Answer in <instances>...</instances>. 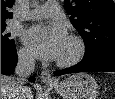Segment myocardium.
Returning <instances> with one entry per match:
<instances>
[{
  "mask_svg": "<svg viewBox=\"0 0 115 99\" xmlns=\"http://www.w3.org/2000/svg\"><path fill=\"white\" fill-rule=\"evenodd\" d=\"M68 41L74 46V51L70 56L58 59L57 64L61 67H70L79 63L87 51L85 41L80 36L70 35Z\"/></svg>",
  "mask_w": 115,
  "mask_h": 99,
  "instance_id": "f54148a6",
  "label": "myocardium"
}]
</instances>
